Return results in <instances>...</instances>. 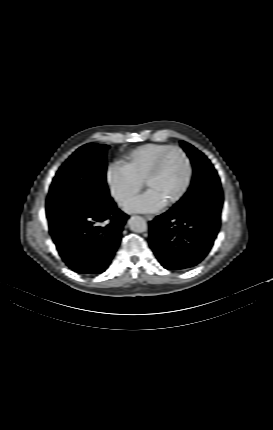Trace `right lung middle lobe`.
Returning a JSON list of instances; mask_svg holds the SVG:
<instances>
[{
	"mask_svg": "<svg viewBox=\"0 0 273 430\" xmlns=\"http://www.w3.org/2000/svg\"><path fill=\"white\" fill-rule=\"evenodd\" d=\"M108 148L95 143L83 145L60 167L47 197L48 219L91 204L113 202L106 184Z\"/></svg>",
	"mask_w": 273,
	"mask_h": 430,
	"instance_id": "right-lung-middle-lobe-1",
	"label": "right lung middle lobe"
}]
</instances>
